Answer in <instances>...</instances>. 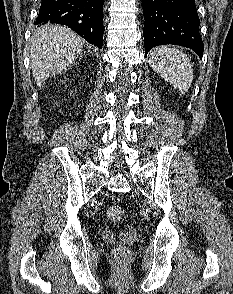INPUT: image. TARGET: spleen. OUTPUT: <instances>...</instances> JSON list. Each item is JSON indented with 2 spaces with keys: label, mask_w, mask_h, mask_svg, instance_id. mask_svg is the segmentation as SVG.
<instances>
[{
  "label": "spleen",
  "mask_w": 233,
  "mask_h": 294,
  "mask_svg": "<svg viewBox=\"0 0 233 294\" xmlns=\"http://www.w3.org/2000/svg\"><path fill=\"white\" fill-rule=\"evenodd\" d=\"M149 62L155 72L172 84L181 94H185L193 81V66L182 51L161 46L153 49Z\"/></svg>",
  "instance_id": "obj_1"
}]
</instances>
